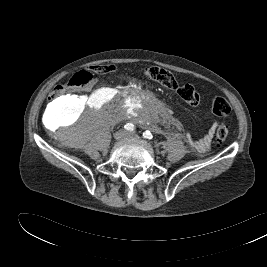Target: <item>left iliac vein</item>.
<instances>
[{
    "mask_svg": "<svg viewBox=\"0 0 267 267\" xmlns=\"http://www.w3.org/2000/svg\"><path fill=\"white\" fill-rule=\"evenodd\" d=\"M127 136H128V137H135L136 134H135V133H128Z\"/></svg>",
    "mask_w": 267,
    "mask_h": 267,
    "instance_id": "left-iliac-vein-1",
    "label": "left iliac vein"
}]
</instances>
